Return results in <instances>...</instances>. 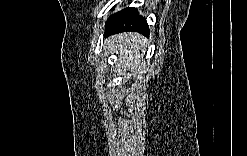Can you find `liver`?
<instances>
[{
  "label": "liver",
  "instance_id": "liver-1",
  "mask_svg": "<svg viewBox=\"0 0 247 156\" xmlns=\"http://www.w3.org/2000/svg\"><path fill=\"white\" fill-rule=\"evenodd\" d=\"M149 41L138 33H120L107 41L110 52L116 53L123 71H141L142 62L140 51L147 48Z\"/></svg>",
  "mask_w": 247,
  "mask_h": 156
}]
</instances>
